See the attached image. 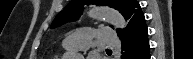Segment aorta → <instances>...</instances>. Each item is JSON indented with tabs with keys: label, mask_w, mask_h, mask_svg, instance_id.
<instances>
[{
	"label": "aorta",
	"mask_w": 193,
	"mask_h": 59,
	"mask_svg": "<svg viewBox=\"0 0 193 59\" xmlns=\"http://www.w3.org/2000/svg\"><path fill=\"white\" fill-rule=\"evenodd\" d=\"M88 17L94 20H105L116 28L124 29L126 22L123 16L116 10L108 7H92L87 12ZM71 59H83L80 54H73Z\"/></svg>",
	"instance_id": "aorta-1"
}]
</instances>
